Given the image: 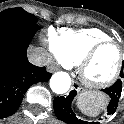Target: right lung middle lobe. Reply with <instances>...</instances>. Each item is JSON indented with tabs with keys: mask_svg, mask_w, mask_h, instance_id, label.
<instances>
[{
	"mask_svg": "<svg viewBox=\"0 0 124 124\" xmlns=\"http://www.w3.org/2000/svg\"><path fill=\"white\" fill-rule=\"evenodd\" d=\"M37 17L22 8H10L0 12V27L28 26L36 24Z\"/></svg>",
	"mask_w": 124,
	"mask_h": 124,
	"instance_id": "obj_1",
	"label": "right lung middle lobe"
}]
</instances>
